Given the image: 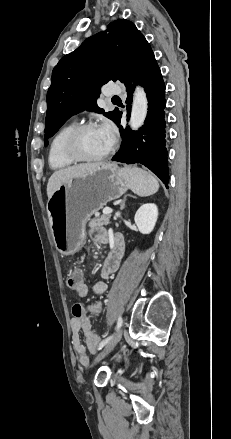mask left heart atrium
Here are the masks:
<instances>
[{
  "label": "left heart atrium",
  "instance_id": "obj_1",
  "mask_svg": "<svg viewBox=\"0 0 231 439\" xmlns=\"http://www.w3.org/2000/svg\"><path fill=\"white\" fill-rule=\"evenodd\" d=\"M99 130L106 138L108 144L111 146L116 140V129H115L114 125L109 121H105L99 127Z\"/></svg>",
  "mask_w": 231,
  "mask_h": 439
}]
</instances>
